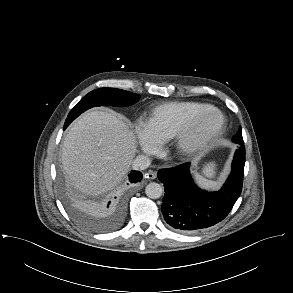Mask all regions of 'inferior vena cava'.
<instances>
[{
	"label": "inferior vena cava",
	"instance_id": "obj_1",
	"mask_svg": "<svg viewBox=\"0 0 293 293\" xmlns=\"http://www.w3.org/2000/svg\"><path fill=\"white\" fill-rule=\"evenodd\" d=\"M150 159L145 155H138L133 160L132 168L134 170H145L150 166Z\"/></svg>",
	"mask_w": 293,
	"mask_h": 293
}]
</instances>
